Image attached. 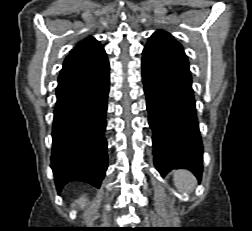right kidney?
<instances>
[{"label":"right kidney","instance_id":"ca27d5eb","mask_svg":"<svg viewBox=\"0 0 252 231\" xmlns=\"http://www.w3.org/2000/svg\"><path fill=\"white\" fill-rule=\"evenodd\" d=\"M88 199L85 196H82L81 198H79L75 204H73V206H76V204L78 206H80V208H84L87 204Z\"/></svg>","mask_w":252,"mask_h":231}]
</instances>
